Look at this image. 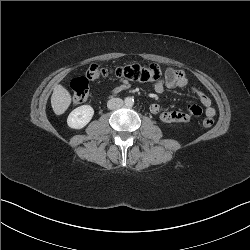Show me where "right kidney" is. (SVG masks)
<instances>
[{
  "mask_svg": "<svg viewBox=\"0 0 250 250\" xmlns=\"http://www.w3.org/2000/svg\"><path fill=\"white\" fill-rule=\"evenodd\" d=\"M93 115L94 109L90 105H82L69 114L67 124L73 129H81L90 122Z\"/></svg>",
  "mask_w": 250,
  "mask_h": 250,
  "instance_id": "1",
  "label": "right kidney"
}]
</instances>
